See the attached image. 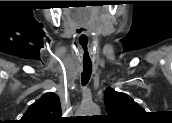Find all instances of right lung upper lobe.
<instances>
[{
  "label": "right lung upper lobe",
  "mask_w": 172,
  "mask_h": 123,
  "mask_svg": "<svg viewBox=\"0 0 172 123\" xmlns=\"http://www.w3.org/2000/svg\"><path fill=\"white\" fill-rule=\"evenodd\" d=\"M24 123H61L60 99L55 93H46L24 113Z\"/></svg>",
  "instance_id": "obj_1"
}]
</instances>
